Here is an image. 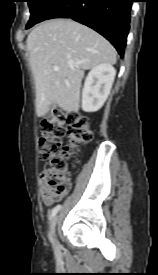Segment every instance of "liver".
Masks as SVG:
<instances>
[{
    "label": "liver",
    "instance_id": "obj_1",
    "mask_svg": "<svg viewBox=\"0 0 158 275\" xmlns=\"http://www.w3.org/2000/svg\"><path fill=\"white\" fill-rule=\"evenodd\" d=\"M35 80L36 113L45 116L52 104L78 112L84 71L116 62V50L94 30L71 19H51L27 37ZM59 66L54 71V66Z\"/></svg>",
    "mask_w": 158,
    "mask_h": 275
}]
</instances>
